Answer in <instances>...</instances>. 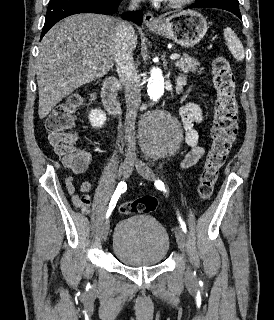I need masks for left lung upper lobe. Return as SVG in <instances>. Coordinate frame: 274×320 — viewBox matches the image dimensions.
Wrapping results in <instances>:
<instances>
[{"mask_svg": "<svg viewBox=\"0 0 274 320\" xmlns=\"http://www.w3.org/2000/svg\"><path fill=\"white\" fill-rule=\"evenodd\" d=\"M197 2L215 4V5L223 6L226 8H232V9L239 10L238 0H198Z\"/></svg>", "mask_w": 274, "mask_h": 320, "instance_id": "1", "label": "left lung upper lobe"}]
</instances>
